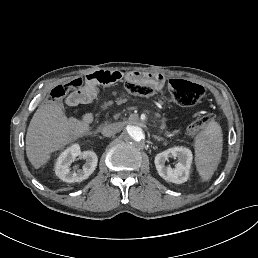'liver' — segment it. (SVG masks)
<instances>
[{
  "mask_svg": "<svg viewBox=\"0 0 258 258\" xmlns=\"http://www.w3.org/2000/svg\"><path fill=\"white\" fill-rule=\"evenodd\" d=\"M62 104L41 105L34 113L26 135V154L35 169L46 164L50 153L72 142L75 118H67Z\"/></svg>",
  "mask_w": 258,
  "mask_h": 258,
  "instance_id": "1",
  "label": "liver"
}]
</instances>
